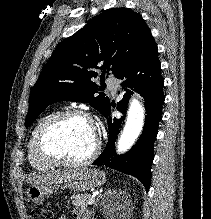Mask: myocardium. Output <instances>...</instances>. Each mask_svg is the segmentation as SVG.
<instances>
[{"mask_svg":"<svg viewBox=\"0 0 211 219\" xmlns=\"http://www.w3.org/2000/svg\"><path fill=\"white\" fill-rule=\"evenodd\" d=\"M66 118H79L89 122L90 124L92 123L89 115L78 109H67L56 112L48 117L39 127L34 139V151L42 161L52 166H86L94 161L100 152L101 141L99 137L96 139V144L92 152L87 157L79 160H70L60 157L53 153L48 146V135L50 131L55 127L56 124Z\"/></svg>","mask_w":211,"mask_h":219,"instance_id":"myocardium-1","label":"myocardium"}]
</instances>
